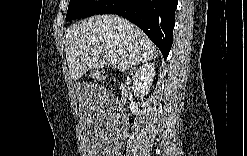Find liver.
I'll list each match as a JSON object with an SVG mask.
<instances>
[{"label": "liver", "mask_w": 247, "mask_h": 156, "mask_svg": "<svg viewBox=\"0 0 247 156\" xmlns=\"http://www.w3.org/2000/svg\"><path fill=\"white\" fill-rule=\"evenodd\" d=\"M69 74L80 79L115 59L121 72L140 62L156 59L158 49L145 33L117 15H95L65 31Z\"/></svg>", "instance_id": "liver-1"}]
</instances>
